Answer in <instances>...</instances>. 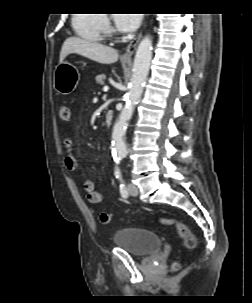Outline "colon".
Returning <instances> with one entry per match:
<instances>
[{
    "mask_svg": "<svg viewBox=\"0 0 252 303\" xmlns=\"http://www.w3.org/2000/svg\"><path fill=\"white\" fill-rule=\"evenodd\" d=\"M59 117L62 121H69L71 114L70 108L67 105H61L59 108ZM101 223L108 224L111 220V214L102 212L99 216ZM160 222L164 225H174L177 228L178 234L182 238L183 245L186 249L192 250L197 246V239L190 229L183 223L168 217H163ZM180 267L178 262L172 264V270L176 271Z\"/></svg>",
    "mask_w": 252,
    "mask_h": 303,
    "instance_id": "obj_1",
    "label": "colon"
}]
</instances>
